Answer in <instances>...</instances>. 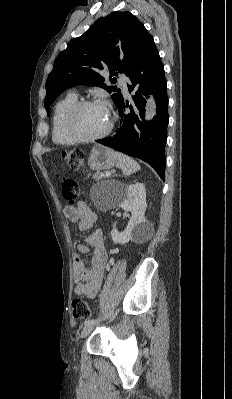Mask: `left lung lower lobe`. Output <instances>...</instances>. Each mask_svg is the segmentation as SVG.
Here are the masks:
<instances>
[{
    "label": "left lung lower lobe",
    "instance_id": "0a47b994",
    "mask_svg": "<svg viewBox=\"0 0 232 399\" xmlns=\"http://www.w3.org/2000/svg\"><path fill=\"white\" fill-rule=\"evenodd\" d=\"M133 92L130 104L121 100L117 106L120 114V126L110 137L96 142L139 158L150 164L164 180L166 131L169 122L168 97L164 66L154 40L148 41L138 56L134 67L128 74ZM148 94L154 95L157 105L156 116L144 125V112ZM129 108L130 112H127Z\"/></svg>",
    "mask_w": 232,
    "mask_h": 399
}]
</instances>
